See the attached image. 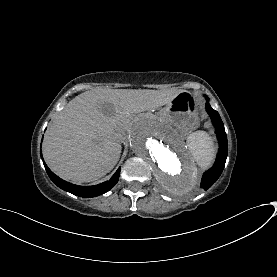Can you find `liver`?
I'll use <instances>...</instances> for the list:
<instances>
[{
  "label": "liver",
  "mask_w": 277,
  "mask_h": 277,
  "mask_svg": "<svg viewBox=\"0 0 277 277\" xmlns=\"http://www.w3.org/2000/svg\"><path fill=\"white\" fill-rule=\"evenodd\" d=\"M179 92L110 89L78 95L49 127L43 145L45 161L72 182L96 180L118 161L133 114L170 104Z\"/></svg>",
  "instance_id": "obj_1"
}]
</instances>
